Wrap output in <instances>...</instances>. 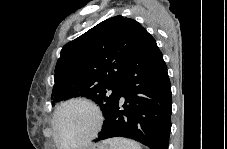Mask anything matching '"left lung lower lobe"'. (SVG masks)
Here are the masks:
<instances>
[{
    "label": "left lung lower lobe",
    "mask_w": 227,
    "mask_h": 149,
    "mask_svg": "<svg viewBox=\"0 0 227 149\" xmlns=\"http://www.w3.org/2000/svg\"><path fill=\"white\" fill-rule=\"evenodd\" d=\"M171 111V85L166 64L155 39L143 28L121 91L94 141L126 137L151 149H168Z\"/></svg>",
    "instance_id": "0a47b994"
}]
</instances>
